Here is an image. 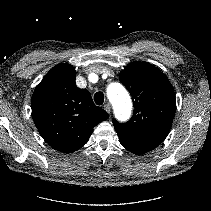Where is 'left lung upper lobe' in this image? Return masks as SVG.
I'll use <instances>...</instances> for the list:
<instances>
[{"label":"left lung upper lobe","instance_id":"1","mask_svg":"<svg viewBox=\"0 0 211 211\" xmlns=\"http://www.w3.org/2000/svg\"><path fill=\"white\" fill-rule=\"evenodd\" d=\"M121 83L133 97L134 112L126 123L113 119L121 142L144 147H157L169 133L176 100L168 78L148 62H136L119 74Z\"/></svg>","mask_w":211,"mask_h":211}]
</instances>
